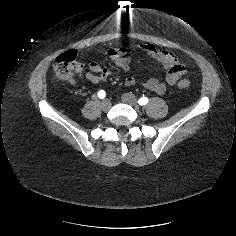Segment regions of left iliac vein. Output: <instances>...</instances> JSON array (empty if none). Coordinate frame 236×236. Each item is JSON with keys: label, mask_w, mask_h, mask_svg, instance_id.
<instances>
[{"label": "left iliac vein", "mask_w": 236, "mask_h": 236, "mask_svg": "<svg viewBox=\"0 0 236 236\" xmlns=\"http://www.w3.org/2000/svg\"><path fill=\"white\" fill-rule=\"evenodd\" d=\"M122 101L131 105V106H136L137 105V99L134 95L130 93H124L122 95Z\"/></svg>", "instance_id": "4c4485c4"}]
</instances>
